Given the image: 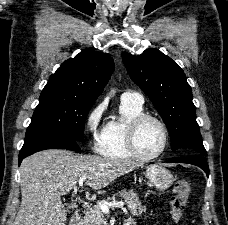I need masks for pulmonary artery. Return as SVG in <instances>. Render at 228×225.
<instances>
[{"mask_svg": "<svg viewBox=\"0 0 228 225\" xmlns=\"http://www.w3.org/2000/svg\"><path fill=\"white\" fill-rule=\"evenodd\" d=\"M121 102L130 103L136 106H143L144 97L140 92L127 91L121 95Z\"/></svg>", "mask_w": 228, "mask_h": 225, "instance_id": "1", "label": "pulmonary artery"}]
</instances>
